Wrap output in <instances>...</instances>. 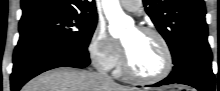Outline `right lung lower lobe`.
Here are the masks:
<instances>
[{
	"label": "right lung lower lobe",
	"instance_id": "right-lung-lower-lobe-1",
	"mask_svg": "<svg viewBox=\"0 0 220 91\" xmlns=\"http://www.w3.org/2000/svg\"><path fill=\"white\" fill-rule=\"evenodd\" d=\"M11 91H19L31 78L57 67L84 68L90 64L87 49L41 37L20 38L13 55Z\"/></svg>",
	"mask_w": 220,
	"mask_h": 91
}]
</instances>
